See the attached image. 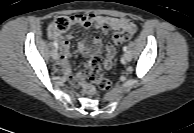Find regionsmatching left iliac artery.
Segmentation results:
<instances>
[{
    "instance_id": "obj_1",
    "label": "left iliac artery",
    "mask_w": 194,
    "mask_h": 133,
    "mask_svg": "<svg viewBox=\"0 0 194 133\" xmlns=\"http://www.w3.org/2000/svg\"><path fill=\"white\" fill-rule=\"evenodd\" d=\"M127 49H128V47H127V46H124V47H123V51H124V52H126V51H127Z\"/></svg>"
}]
</instances>
